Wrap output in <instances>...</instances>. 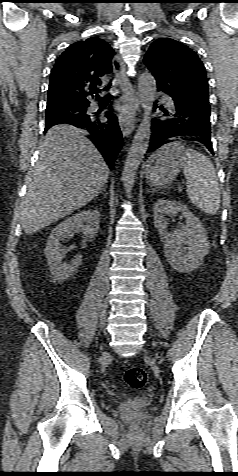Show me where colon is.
I'll use <instances>...</instances> for the list:
<instances>
[{"label":"colon","mask_w":238,"mask_h":476,"mask_svg":"<svg viewBox=\"0 0 238 476\" xmlns=\"http://www.w3.org/2000/svg\"><path fill=\"white\" fill-rule=\"evenodd\" d=\"M124 382L132 389H140L147 382V374L141 367H130L124 373Z\"/></svg>","instance_id":"colon-1"}]
</instances>
